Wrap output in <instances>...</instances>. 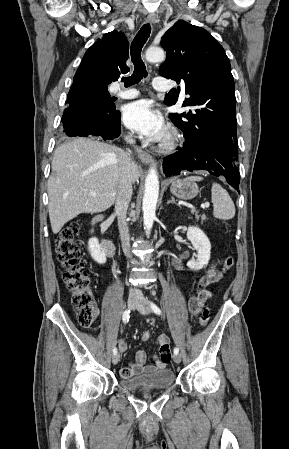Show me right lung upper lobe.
I'll return each mask as SVG.
<instances>
[{
	"mask_svg": "<svg viewBox=\"0 0 289 449\" xmlns=\"http://www.w3.org/2000/svg\"><path fill=\"white\" fill-rule=\"evenodd\" d=\"M128 47L122 32L114 30L104 34L86 51L74 81L91 85L94 92L107 88L121 73L129 71L125 64Z\"/></svg>",
	"mask_w": 289,
	"mask_h": 449,
	"instance_id": "obj_1",
	"label": "right lung upper lobe"
}]
</instances>
